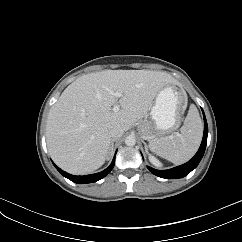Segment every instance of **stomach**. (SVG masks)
Listing matches in <instances>:
<instances>
[{
  "mask_svg": "<svg viewBox=\"0 0 242 242\" xmlns=\"http://www.w3.org/2000/svg\"><path fill=\"white\" fill-rule=\"evenodd\" d=\"M186 101L185 94L174 85L160 89L150 113L153 126L148 132L141 131V135L152 141L176 130L181 123Z\"/></svg>",
  "mask_w": 242,
  "mask_h": 242,
  "instance_id": "0dacf381",
  "label": "stomach"
}]
</instances>
